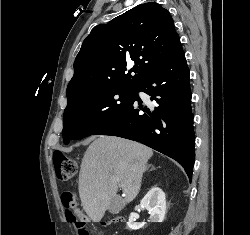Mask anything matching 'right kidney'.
<instances>
[{
    "instance_id": "obj_1",
    "label": "right kidney",
    "mask_w": 250,
    "mask_h": 235,
    "mask_svg": "<svg viewBox=\"0 0 250 235\" xmlns=\"http://www.w3.org/2000/svg\"><path fill=\"white\" fill-rule=\"evenodd\" d=\"M140 204L148 210L151 222H163L166 212V198L161 188L156 186L151 188ZM137 218L136 213L130 214L127 225L131 230H138L143 227V223L135 222Z\"/></svg>"
}]
</instances>
